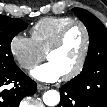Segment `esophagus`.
I'll return each mask as SVG.
<instances>
[{"label":"esophagus","instance_id":"esophagus-1","mask_svg":"<svg viewBox=\"0 0 107 107\" xmlns=\"http://www.w3.org/2000/svg\"><path fill=\"white\" fill-rule=\"evenodd\" d=\"M49 87L44 85V84H37V89L38 91H41V90H46L48 89Z\"/></svg>","mask_w":107,"mask_h":107}]
</instances>
